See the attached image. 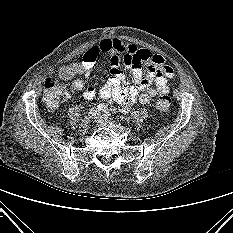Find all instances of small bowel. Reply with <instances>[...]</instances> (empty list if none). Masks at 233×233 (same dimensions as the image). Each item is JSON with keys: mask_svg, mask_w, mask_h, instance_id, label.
Instances as JSON below:
<instances>
[{"mask_svg": "<svg viewBox=\"0 0 233 233\" xmlns=\"http://www.w3.org/2000/svg\"><path fill=\"white\" fill-rule=\"evenodd\" d=\"M100 54H106L111 64V77L102 86L101 98H112L121 111L127 112L134 104H148L157 94H166L169 91L168 79L175 76L174 70L166 65L162 56L153 54L146 49H140L119 39H104L97 45L89 48L83 55L82 73L89 77ZM124 63L132 70L134 83L123 85L124 74L120 64ZM145 73V76H144ZM155 84V86H152ZM84 83L76 79L71 84L73 91H81ZM83 96L92 100L96 96V89L88 87Z\"/></svg>", "mask_w": 233, "mask_h": 233, "instance_id": "c3829d8e", "label": "small bowel"}]
</instances>
